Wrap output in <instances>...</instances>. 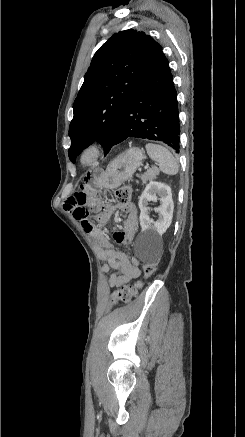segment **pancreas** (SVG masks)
<instances>
[{"label": "pancreas", "instance_id": "1", "mask_svg": "<svg viewBox=\"0 0 245 437\" xmlns=\"http://www.w3.org/2000/svg\"><path fill=\"white\" fill-rule=\"evenodd\" d=\"M158 174H159V170L157 168H151V169L147 170V172L140 175V179L142 180V184H146L148 181L155 179Z\"/></svg>", "mask_w": 245, "mask_h": 437}]
</instances>
